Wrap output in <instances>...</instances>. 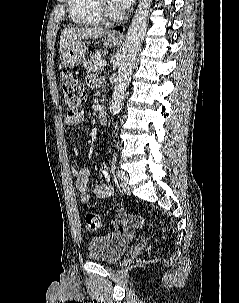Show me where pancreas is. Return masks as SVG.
<instances>
[{
  "label": "pancreas",
  "instance_id": "pancreas-1",
  "mask_svg": "<svg viewBox=\"0 0 239 303\" xmlns=\"http://www.w3.org/2000/svg\"><path fill=\"white\" fill-rule=\"evenodd\" d=\"M104 60V52L97 50L89 59L84 61V67L90 72H100L103 67L100 62Z\"/></svg>",
  "mask_w": 239,
  "mask_h": 303
}]
</instances>
